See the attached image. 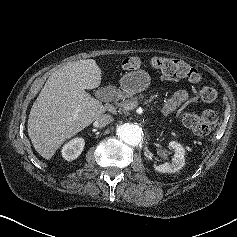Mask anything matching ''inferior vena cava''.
I'll list each match as a JSON object with an SVG mask.
<instances>
[{"label": "inferior vena cava", "mask_w": 237, "mask_h": 237, "mask_svg": "<svg viewBox=\"0 0 237 237\" xmlns=\"http://www.w3.org/2000/svg\"><path fill=\"white\" fill-rule=\"evenodd\" d=\"M114 118L109 114H102L98 118H96L94 122L95 127H105L106 125L113 122Z\"/></svg>", "instance_id": "inferior-vena-cava-1"}]
</instances>
